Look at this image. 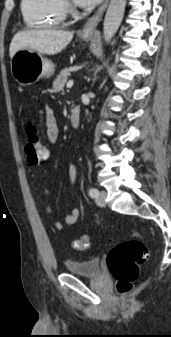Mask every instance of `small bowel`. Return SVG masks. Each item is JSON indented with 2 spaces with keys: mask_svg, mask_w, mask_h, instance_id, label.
Masks as SVG:
<instances>
[{
  "mask_svg": "<svg viewBox=\"0 0 171 337\" xmlns=\"http://www.w3.org/2000/svg\"><path fill=\"white\" fill-rule=\"evenodd\" d=\"M59 127L55 118L54 110L51 107L46 109L45 113V133L49 142L54 143L59 138ZM68 175L71 184H75L77 180V167L74 163H70L68 166ZM44 194L47 196L49 194L48 189L44 188ZM46 212L52 214V208L47 205ZM80 216V210L78 208H72L66 215L64 223L56 221L54 226L56 230L62 231L65 225H72L76 223Z\"/></svg>",
  "mask_w": 171,
  "mask_h": 337,
  "instance_id": "c3829d8e",
  "label": "small bowel"
}]
</instances>
